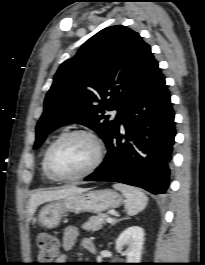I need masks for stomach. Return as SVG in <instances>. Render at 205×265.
I'll return each instance as SVG.
<instances>
[{"label": "stomach", "mask_w": 205, "mask_h": 265, "mask_svg": "<svg viewBox=\"0 0 205 265\" xmlns=\"http://www.w3.org/2000/svg\"><path fill=\"white\" fill-rule=\"evenodd\" d=\"M121 203L122 197L111 189L73 194L43 206L38 221L42 227L53 229L60 224L62 216L67 212L99 214L109 208H117Z\"/></svg>", "instance_id": "1"}]
</instances>
